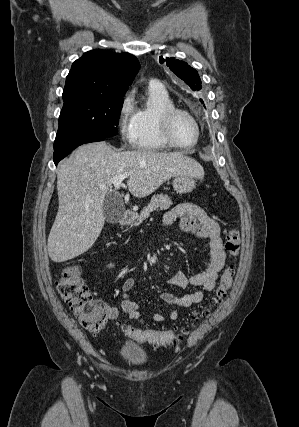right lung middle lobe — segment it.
Instances as JSON below:
<instances>
[{"label": "right lung middle lobe", "instance_id": "right-lung-middle-lobe-1", "mask_svg": "<svg viewBox=\"0 0 299 427\" xmlns=\"http://www.w3.org/2000/svg\"><path fill=\"white\" fill-rule=\"evenodd\" d=\"M54 148L79 139L117 134L123 96L79 95L63 100Z\"/></svg>", "mask_w": 299, "mask_h": 427}]
</instances>
